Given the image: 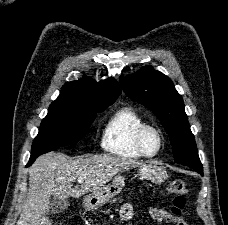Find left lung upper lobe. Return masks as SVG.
Returning a JSON list of instances; mask_svg holds the SVG:
<instances>
[{
  "label": "left lung upper lobe",
  "instance_id": "5c2ea615",
  "mask_svg": "<svg viewBox=\"0 0 228 225\" xmlns=\"http://www.w3.org/2000/svg\"><path fill=\"white\" fill-rule=\"evenodd\" d=\"M120 81L127 96L149 108L159 118L170 137L175 162L203 172L182 96L170 78L147 66Z\"/></svg>",
  "mask_w": 228,
  "mask_h": 225
}]
</instances>
